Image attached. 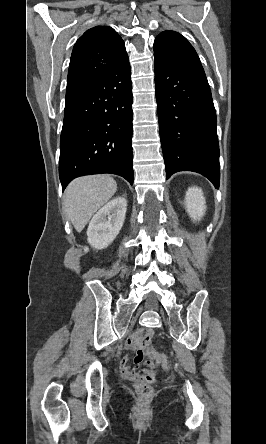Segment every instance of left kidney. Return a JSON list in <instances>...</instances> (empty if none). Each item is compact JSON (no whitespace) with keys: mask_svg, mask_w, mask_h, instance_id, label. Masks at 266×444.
<instances>
[{"mask_svg":"<svg viewBox=\"0 0 266 444\" xmlns=\"http://www.w3.org/2000/svg\"><path fill=\"white\" fill-rule=\"evenodd\" d=\"M206 202L203 191L199 187L188 188L185 196V206L187 213L194 220H200L206 211Z\"/></svg>","mask_w":266,"mask_h":444,"instance_id":"1","label":"left kidney"}]
</instances>
